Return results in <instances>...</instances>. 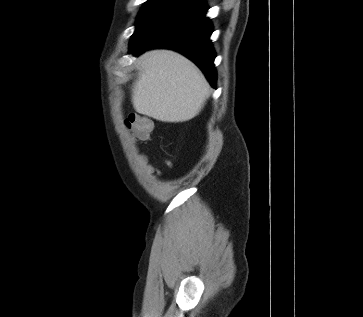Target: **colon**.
Returning <instances> with one entry per match:
<instances>
[{
    "instance_id": "colon-1",
    "label": "colon",
    "mask_w": 363,
    "mask_h": 317,
    "mask_svg": "<svg viewBox=\"0 0 363 317\" xmlns=\"http://www.w3.org/2000/svg\"><path fill=\"white\" fill-rule=\"evenodd\" d=\"M124 124L138 139H146L153 127V122L149 117L136 113H130Z\"/></svg>"
}]
</instances>
